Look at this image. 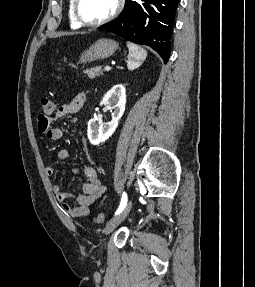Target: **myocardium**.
<instances>
[{"label": "myocardium", "instance_id": "f54148a6", "mask_svg": "<svg viewBox=\"0 0 255 287\" xmlns=\"http://www.w3.org/2000/svg\"><path fill=\"white\" fill-rule=\"evenodd\" d=\"M90 33H98V32H90ZM105 33H116V32H105ZM92 39H117V38H92ZM113 48H121V47H113ZM145 48V47H141Z\"/></svg>", "mask_w": 255, "mask_h": 287}]
</instances>
